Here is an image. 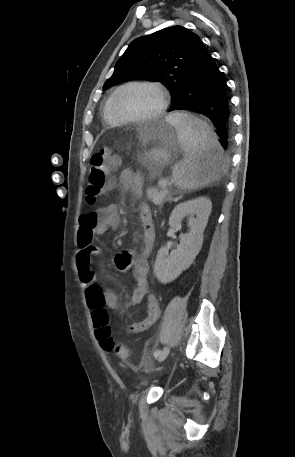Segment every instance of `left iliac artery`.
<instances>
[{
    "mask_svg": "<svg viewBox=\"0 0 295 457\" xmlns=\"http://www.w3.org/2000/svg\"><path fill=\"white\" fill-rule=\"evenodd\" d=\"M160 353H161V350H159V349L156 350V351L154 352V357H158Z\"/></svg>",
    "mask_w": 295,
    "mask_h": 457,
    "instance_id": "1",
    "label": "left iliac artery"
}]
</instances>
